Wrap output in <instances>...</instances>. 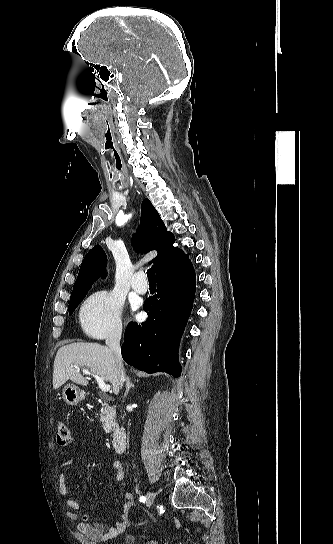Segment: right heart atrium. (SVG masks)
I'll list each match as a JSON object with an SVG mask.
<instances>
[{
	"label": "right heart atrium",
	"instance_id": "obj_1",
	"mask_svg": "<svg viewBox=\"0 0 333 544\" xmlns=\"http://www.w3.org/2000/svg\"><path fill=\"white\" fill-rule=\"evenodd\" d=\"M122 299L113 291L92 294L80 310L81 327L93 338L118 337L122 332Z\"/></svg>",
	"mask_w": 333,
	"mask_h": 544
}]
</instances>
